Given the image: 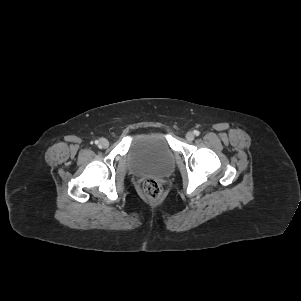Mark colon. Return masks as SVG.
<instances>
[{"instance_id":"1","label":"colon","mask_w":301,"mask_h":301,"mask_svg":"<svg viewBox=\"0 0 301 301\" xmlns=\"http://www.w3.org/2000/svg\"><path fill=\"white\" fill-rule=\"evenodd\" d=\"M144 195L150 200H159L163 195V186L155 179H147L142 185Z\"/></svg>"}]
</instances>
